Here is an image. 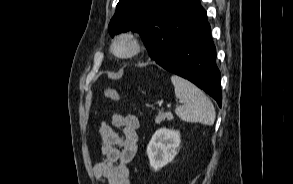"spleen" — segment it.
Instances as JSON below:
<instances>
[{
    "instance_id": "1",
    "label": "spleen",
    "mask_w": 293,
    "mask_h": 184,
    "mask_svg": "<svg viewBox=\"0 0 293 184\" xmlns=\"http://www.w3.org/2000/svg\"><path fill=\"white\" fill-rule=\"evenodd\" d=\"M175 96L184 102V105L175 109L176 115L186 122H199L213 125L216 117L215 108L211 100L190 81L172 75Z\"/></svg>"
}]
</instances>
